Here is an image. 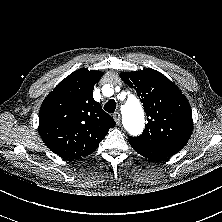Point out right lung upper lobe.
<instances>
[{"instance_id":"1","label":"right lung upper lobe","mask_w":222,"mask_h":222,"mask_svg":"<svg viewBox=\"0 0 222 222\" xmlns=\"http://www.w3.org/2000/svg\"><path fill=\"white\" fill-rule=\"evenodd\" d=\"M103 73L86 68L62 80L43 101L39 133L46 146L60 157L79 159L93 153L114 119L93 99L94 85Z\"/></svg>"}]
</instances>
